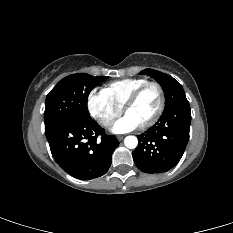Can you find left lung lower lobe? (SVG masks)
Wrapping results in <instances>:
<instances>
[{"label": "left lung lower lobe", "mask_w": 233, "mask_h": 233, "mask_svg": "<svg viewBox=\"0 0 233 233\" xmlns=\"http://www.w3.org/2000/svg\"><path fill=\"white\" fill-rule=\"evenodd\" d=\"M191 110L186 98L164 110L157 123L142 133L133 159L146 173L167 172L180 161L189 140Z\"/></svg>", "instance_id": "obj_1"}]
</instances>
